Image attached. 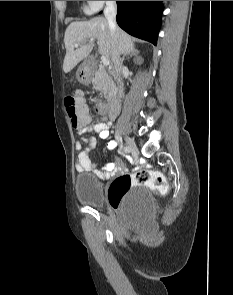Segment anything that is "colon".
Listing matches in <instances>:
<instances>
[{
	"instance_id": "obj_1",
	"label": "colon",
	"mask_w": 233,
	"mask_h": 295,
	"mask_svg": "<svg viewBox=\"0 0 233 295\" xmlns=\"http://www.w3.org/2000/svg\"><path fill=\"white\" fill-rule=\"evenodd\" d=\"M64 104L74 128H80L90 123L88 109L80 91L67 95ZM136 186H144L164 192L167 181L162 173L149 169H142L132 174H122L116 177L109 186L108 199L110 205L114 209H119L132 188Z\"/></svg>"
}]
</instances>
